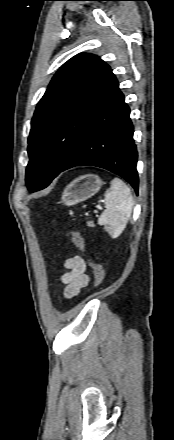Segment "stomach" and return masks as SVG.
I'll return each mask as SVG.
<instances>
[{
  "instance_id": "obj_1",
  "label": "stomach",
  "mask_w": 174,
  "mask_h": 440,
  "mask_svg": "<svg viewBox=\"0 0 174 440\" xmlns=\"http://www.w3.org/2000/svg\"><path fill=\"white\" fill-rule=\"evenodd\" d=\"M103 181L98 175L86 174L77 177L69 183L62 193V203L72 206L85 201L95 195L101 188Z\"/></svg>"
}]
</instances>
